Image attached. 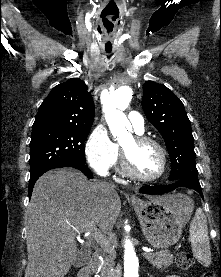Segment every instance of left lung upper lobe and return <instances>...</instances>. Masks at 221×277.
<instances>
[{
  "label": "left lung upper lobe",
  "instance_id": "left-lung-upper-lobe-1",
  "mask_svg": "<svg viewBox=\"0 0 221 277\" xmlns=\"http://www.w3.org/2000/svg\"><path fill=\"white\" fill-rule=\"evenodd\" d=\"M142 108L162 134L171 160L170 181L199 182L194 138L183 103L170 89L154 81L143 86Z\"/></svg>",
  "mask_w": 221,
  "mask_h": 277
}]
</instances>
